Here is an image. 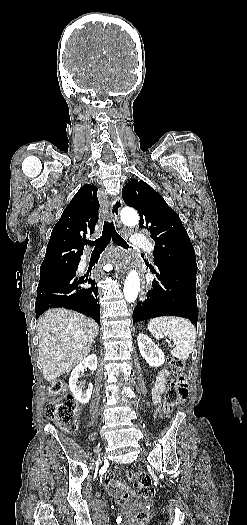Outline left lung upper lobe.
<instances>
[{
	"instance_id": "1",
	"label": "left lung upper lobe",
	"mask_w": 247,
	"mask_h": 525,
	"mask_svg": "<svg viewBox=\"0 0 247 525\" xmlns=\"http://www.w3.org/2000/svg\"><path fill=\"white\" fill-rule=\"evenodd\" d=\"M124 202L135 208L139 227L146 228L155 241L157 267L196 275L193 245L179 218L164 198L143 180L132 179L122 190Z\"/></svg>"
}]
</instances>
